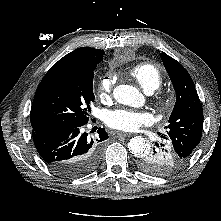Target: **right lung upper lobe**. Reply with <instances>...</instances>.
<instances>
[{
	"label": "right lung upper lobe",
	"instance_id": "1",
	"mask_svg": "<svg viewBox=\"0 0 221 221\" xmlns=\"http://www.w3.org/2000/svg\"><path fill=\"white\" fill-rule=\"evenodd\" d=\"M104 54L105 52L100 49H94V48H89V47L78 48L68 53L66 56H64L58 62H56L50 68L47 74L73 68L89 59H103ZM32 110L33 108L31 109V111ZM31 125H32V128L42 126L35 119L31 120Z\"/></svg>",
	"mask_w": 221,
	"mask_h": 221
}]
</instances>
